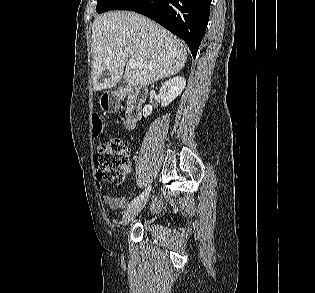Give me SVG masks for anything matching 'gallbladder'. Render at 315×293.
Wrapping results in <instances>:
<instances>
[{"label": "gallbladder", "instance_id": "gallbladder-1", "mask_svg": "<svg viewBox=\"0 0 315 293\" xmlns=\"http://www.w3.org/2000/svg\"><path fill=\"white\" fill-rule=\"evenodd\" d=\"M104 77L111 78L110 72H109V71H105V72H104L103 78L101 79V82H104Z\"/></svg>", "mask_w": 315, "mask_h": 293}]
</instances>
